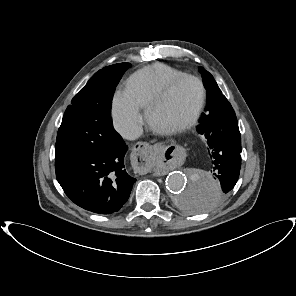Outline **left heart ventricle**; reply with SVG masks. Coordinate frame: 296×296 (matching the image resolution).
I'll return each mask as SVG.
<instances>
[{"label":"left heart ventricle","instance_id":"obj_1","mask_svg":"<svg viewBox=\"0 0 296 296\" xmlns=\"http://www.w3.org/2000/svg\"><path fill=\"white\" fill-rule=\"evenodd\" d=\"M198 98V84L190 79L182 80L155 111L156 122L168 126L184 120L196 106Z\"/></svg>","mask_w":296,"mask_h":296}]
</instances>
